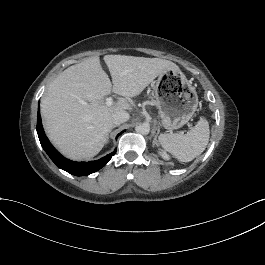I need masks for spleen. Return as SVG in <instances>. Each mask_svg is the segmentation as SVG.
Instances as JSON below:
<instances>
[{
	"label": "spleen",
	"mask_w": 265,
	"mask_h": 265,
	"mask_svg": "<svg viewBox=\"0 0 265 265\" xmlns=\"http://www.w3.org/2000/svg\"><path fill=\"white\" fill-rule=\"evenodd\" d=\"M209 124L205 119L197 121L186 134L161 133L158 136L160 146L179 161H191L201 154L208 142Z\"/></svg>",
	"instance_id": "spleen-1"
}]
</instances>
